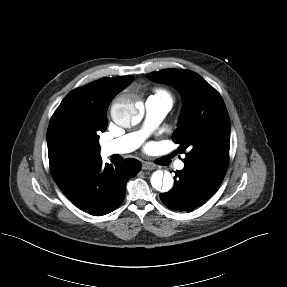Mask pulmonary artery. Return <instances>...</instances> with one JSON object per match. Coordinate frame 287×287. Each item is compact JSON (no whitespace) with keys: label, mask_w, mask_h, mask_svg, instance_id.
Here are the masks:
<instances>
[{"label":"pulmonary artery","mask_w":287,"mask_h":287,"mask_svg":"<svg viewBox=\"0 0 287 287\" xmlns=\"http://www.w3.org/2000/svg\"><path fill=\"white\" fill-rule=\"evenodd\" d=\"M146 118L141 130L126 134L102 145L105 155L125 154L137 149L149 133L159 125L172 108V101L167 98L150 96L145 103ZM184 163L178 161L177 169H183Z\"/></svg>","instance_id":"1"}]
</instances>
